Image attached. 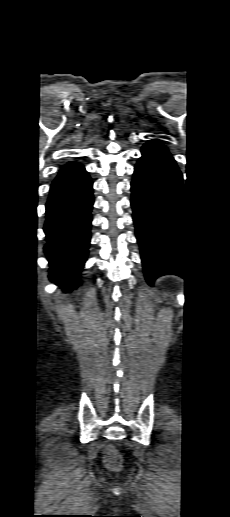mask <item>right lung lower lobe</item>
<instances>
[{
    "label": "right lung lower lobe",
    "instance_id": "right-lung-lower-lobe-1",
    "mask_svg": "<svg viewBox=\"0 0 230 517\" xmlns=\"http://www.w3.org/2000/svg\"><path fill=\"white\" fill-rule=\"evenodd\" d=\"M93 202L92 181L80 164L60 172L51 184L44 251L50 264L49 279L66 291L78 286L86 261Z\"/></svg>",
    "mask_w": 230,
    "mask_h": 517
}]
</instances>
